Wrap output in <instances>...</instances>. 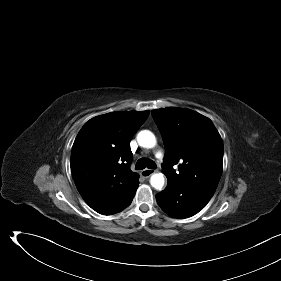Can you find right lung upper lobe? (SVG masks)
<instances>
[{"label": "right lung upper lobe", "mask_w": 281, "mask_h": 281, "mask_svg": "<svg viewBox=\"0 0 281 281\" xmlns=\"http://www.w3.org/2000/svg\"><path fill=\"white\" fill-rule=\"evenodd\" d=\"M149 111L112 112L87 121L71 153V171L82 198L103 215L117 213L132 202L139 175L130 169V141Z\"/></svg>", "instance_id": "1"}]
</instances>
